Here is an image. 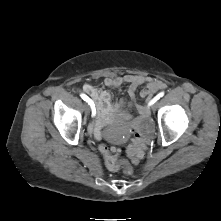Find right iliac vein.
Instances as JSON below:
<instances>
[{
	"label": "right iliac vein",
	"instance_id": "obj_1",
	"mask_svg": "<svg viewBox=\"0 0 221 221\" xmlns=\"http://www.w3.org/2000/svg\"><path fill=\"white\" fill-rule=\"evenodd\" d=\"M84 112H85L86 115H88L90 113L89 105H87V104L84 105Z\"/></svg>",
	"mask_w": 221,
	"mask_h": 221
}]
</instances>
